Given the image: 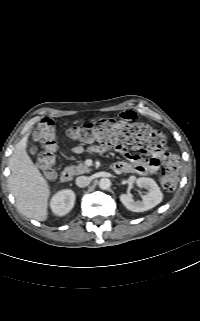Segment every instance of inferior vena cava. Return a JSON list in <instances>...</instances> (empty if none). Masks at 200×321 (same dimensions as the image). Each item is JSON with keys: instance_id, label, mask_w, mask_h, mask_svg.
I'll list each match as a JSON object with an SVG mask.
<instances>
[{"instance_id": "1", "label": "inferior vena cava", "mask_w": 200, "mask_h": 321, "mask_svg": "<svg viewBox=\"0 0 200 321\" xmlns=\"http://www.w3.org/2000/svg\"><path fill=\"white\" fill-rule=\"evenodd\" d=\"M90 178L87 176H79L76 178V185L78 187L84 188L90 184Z\"/></svg>"}]
</instances>
